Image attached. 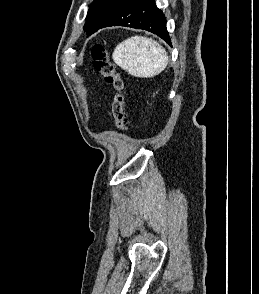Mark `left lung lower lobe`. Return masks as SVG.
<instances>
[{"label": "left lung lower lobe", "mask_w": 259, "mask_h": 294, "mask_svg": "<svg viewBox=\"0 0 259 294\" xmlns=\"http://www.w3.org/2000/svg\"><path fill=\"white\" fill-rule=\"evenodd\" d=\"M107 26L144 29L171 43L166 29V18L156 7L155 0H127L114 8L99 29Z\"/></svg>", "instance_id": "obj_1"}]
</instances>
